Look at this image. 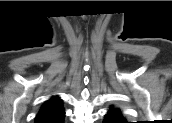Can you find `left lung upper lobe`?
<instances>
[{
    "mask_svg": "<svg viewBox=\"0 0 172 123\" xmlns=\"http://www.w3.org/2000/svg\"><path fill=\"white\" fill-rule=\"evenodd\" d=\"M106 120L112 123H126L119 109L110 108Z\"/></svg>",
    "mask_w": 172,
    "mask_h": 123,
    "instance_id": "5c2ea615",
    "label": "left lung upper lobe"
}]
</instances>
